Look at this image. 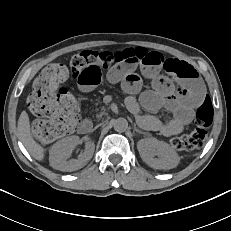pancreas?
<instances>
[{
	"label": "pancreas",
	"mask_w": 231,
	"mask_h": 231,
	"mask_svg": "<svg viewBox=\"0 0 231 231\" xmlns=\"http://www.w3.org/2000/svg\"><path fill=\"white\" fill-rule=\"evenodd\" d=\"M103 114H104V112H101V113L98 115V117H102Z\"/></svg>",
	"instance_id": "cf45deb5"
}]
</instances>
